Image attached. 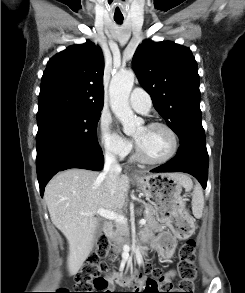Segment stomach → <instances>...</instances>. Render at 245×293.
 <instances>
[{"instance_id":"obj_1","label":"stomach","mask_w":245,"mask_h":293,"mask_svg":"<svg viewBox=\"0 0 245 293\" xmlns=\"http://www.w3.org/2000/svg\"><path fill=\"white\" fill-rule=\"evenodd\" d=\"M135 181L147 200L154 206L157 220L168 226L176 236L183 238L193 232V227L178 231L173 224L190 221L184 198L181 196L183 185L172 174H148L135 177ZM157 248L158 240L151 241Z\"/></svg>"}]
</instances>
